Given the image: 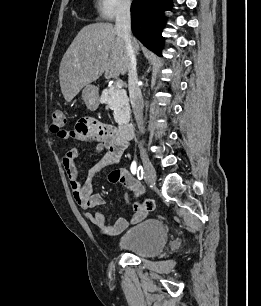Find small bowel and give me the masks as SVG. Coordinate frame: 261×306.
I'll return each mask as SVG.
<instances>
[{"mask_svg":"<svg viewBox=\"0 0 261 306\" xmlns=\"http://www.w3.org/2000/svg\"><path fill=\"white\" fill-rule=\"evenodd\" d=\"M61 138L95 142L97 144V152L101 153L100 159L90 168L89 177L84 183L81 182V173L76 165L79 149L75 147L69 149L62 159L73 198L76 203L86 211V217L93 225L103 234L115 236L123 232L130 223H135L145 216L146 210L142 202L131 203L132 215L130 219L118 218L113 223L107 222L105 214L101 212H91L93 208L102 205L104 202L100 194L93 193L94 178L103 169L114 166L121 161L124 152L128 148L130 139L121 137L114 127L92 119L80 120L74 129L65 130ZM116 171L121 172L124 176V180L115 183H121L128 186L130 184L129 173L125 170ZM110 175L109 180L112 182Z\"/></svg>","mask_w":261,"mask_h":306,"instance_id":"1","label":"small bowel"}]
</instances>
